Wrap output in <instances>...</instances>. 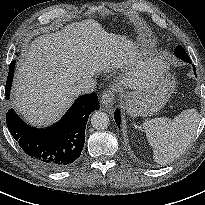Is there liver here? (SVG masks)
<instances>
[{
	"label": "liver",
	"mask_w": 205,
	"mask_h": 205,
	"mask_svg": "<svg viewBox=\"0 0 205 205\" xmlns=\"http://www.w3.org/2000/svg\"><path fill=\"white\" fill-rule=\"evenodd\" d=\"M132 45L91 19L39 36L16 64L14 107L29 124L49 125L72 104L76 83L123 63L136 67L120 80L121 85L131 90L149 88L165 66L160 59L138 61Z\"/></svg>",
	"instance_id": "6515ba94"
}]
</instances>
